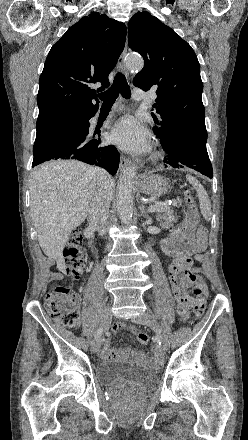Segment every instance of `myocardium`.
<instances>
[{
    "label": "myocardium",
    "instance_id": "obj_1",
    "mask_svg": "<svg viewBox=\"0 0 248 440\" xmlns=\"http://www.w3.org/2000/svg\"><path fill=\"white\" fill-rule=\"evenodd\" d=\"M158 158V154L157 153H153L152 155H151V159L152 160H155V159H157Z\"/></svg>",
    "mask_w": 248,
    "mask_h": 440
}]
</instances>
